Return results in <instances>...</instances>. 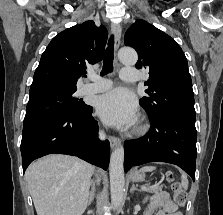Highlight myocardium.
<instances>
[{
    "label": "myocardium",
    "mask_w": 223,
    "mask_h": 215,
    "mask_svg": "<svg viewBox=\"0 0 223 215\" xmlns=\"http://www.w3.org/2000/svg\"><path fill=\"white\" fill-rule=\"evenodd\" d=\"M146 130H147L146 126L141 125V126L137 127V130H136V131H137L139 134H143V133L146 132Z\"/></svg>",
    "instance_id": "obj_1"
}]
</instances>
